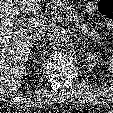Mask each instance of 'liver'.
I'll use <instances>...</instances> for the list:
<instances>
[{"mask_svg": "<svg viewBox=\"0 0 113 113\" xmlns=\"http://www.w3.org/2000/svg\"><path fill=\"white\" fill-rule=\"evenodd\" d=\"M41 0H0V92L11 93L21 86L32 47L34 28L46 23L39 14ZM34 14L27 27L19 30L14 22L19 11Z\"/></svg>", "mask_w": 113, "mask_h": 113, "instance_id": "6515ba94", "label": "liver"}]
</instances>
